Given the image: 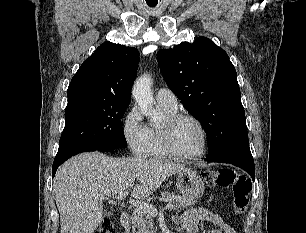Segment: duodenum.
<instances>
[{"instance_id":"obj_1","label":"duodenum","mask_w":306,"mask_h":233,"mask_svg":"<svg viewBox=\"0 0 306 233\" xmlns=\"http://www.w3.org/2000/svg\"><path fill=\"white\" fill-rule=\"evenodd\" d=\"M131 221V215L129 212L125 211L120 215V224L124 229L129 227Z\"/></svg>"}]
</instances>
